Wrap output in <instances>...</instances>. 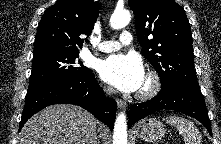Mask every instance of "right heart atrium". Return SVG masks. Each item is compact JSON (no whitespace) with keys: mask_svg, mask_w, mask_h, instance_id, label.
Listing matches in <instances>:
<instances>
[{"mask_svg":"<svg viewBox=\"0 0 221 144\" xmlns=\"http://www.w3.org/2000/svg\"><path fill=\"white\" fill-rule=\"evenodd\" d=\"M106 91H107V92H109V89H108V88H106Z\"/></svg>","mask_w":221,"mask_h":144,"instance_id":"obj_1","label":"right heart atrium"}]
</instances>
